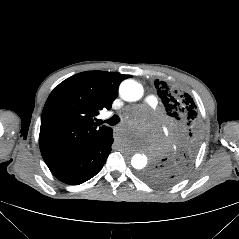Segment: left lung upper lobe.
Here are the masks:
<instances>
[{
  "label": "left lung upper lobe",
  "instance_id": "obj_1",
  "mask_svg": "<svg viewBox=\"0 0 239 239\" xmlns=\"http://www.w3.org/2000/svg\"><path fill=\"white\" fill-rule=\"evenodd\" d=\"M155 87L174 123L175 148L159 165L144 172L143 178L155 186L166 187L181 180L191 168L200 142V119L188 93L158 79Z\"/></svg>",
  "mask_w": 239,
  "mask_h": 239
}]
</instances>
